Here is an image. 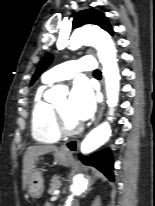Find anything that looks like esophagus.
<instances>
[{
    "instance_id": "obj_1",
    "label": "esophagus",
    "mask_w": 155,
    "mask_h": 206,
    "mask_svg": "<svg viewBox=\"0 0 155 206\" xmlns=\"http://www.w3.org/2000/svg\"><path fill=\"white\" fill-rule=\"evenodd\" d=\"M103 86H104V82H103ZM104 108H105V94H104V89H103V100L100 103V106H99V109H98V115H97L95 124H98L99 121L101 120ZM78 148H79V141L78 140L68 141L62 146V150L65 151V152H68V153H73Z\"/></svg>"
}]
</instances>
